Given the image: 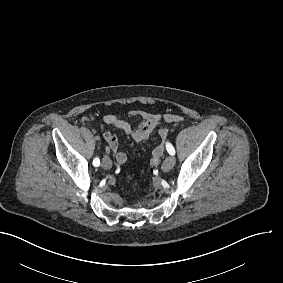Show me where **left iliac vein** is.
Returning a JSON list of instances; mask_svg holds the SVG:
<instances>
[{"instance_id": "left-iliac-vein-1", "label": "left iliac vein", "mask_w": 283, "mask_h": 283, "mask_svg": "<svg viewBox=\"0 0 283 283\" xmlns=\"http://www.w3.org/2000/svg\"><path fill=\"white\" fill-rule=\"evenodd\" d=\"M175 162H176V159L173 155L168 156L162 164V170L163 171L171 170L174 167Z\"/></svg>"}]
</instances>
